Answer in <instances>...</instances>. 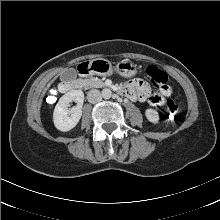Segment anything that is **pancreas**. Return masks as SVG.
I'll list each match as a JSON object with an SVG mask.
<instances>
[{
	"instance_id": "pancreas-1",
	"label": "pancreas",
	"mask_w": 220,
	"mask_h": 220,
	"mask_svg": "<svg viewBox=\"0 0 220 220\" xmlns=\"http://www.w3.org/2000/svg\"><path fill=\"white\" fill-rule=\"evenodd\" d=\"M82 82V85L84 86L85 89L89 88H101L105 86L104 82H102L100 79L96 77H89L86 79L80 80Z\"/></svg>"
}]
</instances>
